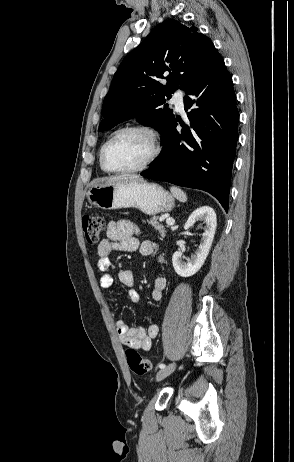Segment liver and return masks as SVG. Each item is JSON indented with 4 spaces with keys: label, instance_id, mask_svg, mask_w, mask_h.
I'll list each match as a JSON object with an SVG mask.
<instances>
[{
    "label": "liver",
    "instance_id": "6515ba94",
    "mask_svg": "<svg viewBox=\"0 0 294 462\" xmlns=\"http://www.w3.org/2000/svg\"><path fill=\"white\" fill-rule=\"evenodd\" d=\"M122 179L142 180V179H141L139 176H137V175H128V174H125V175H120V176H117V177H113V178L109 179L108 182H113V181L122 180Z\"/></svg>",
    "mask_w": 294,
    "mask_h": 462
}]
</instances>
